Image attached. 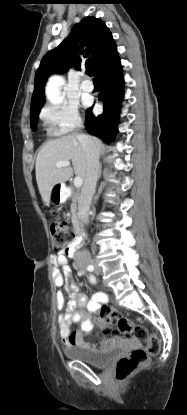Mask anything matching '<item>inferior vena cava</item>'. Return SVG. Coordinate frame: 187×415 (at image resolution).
<instances>
[{
  "label": "inferior vena cava",
  "mask_w": 187,
  "mask_h": 415,
  "mask_svg": "<svg viewBox=\"0 0 187 415\" xmlns=\"http://www.w3.org/2000/svg\"><path fill=\"white\" fill-rule=\"evenodd\" d=\"M86 156V175L78 203V216L84 224H88L91 201L96 189L99 173V154L93 141L86 135L77 136ZM88 256H90L88 254Z\"/></svg>",
  "instance_id": "obj_1"
}]
</instances>
